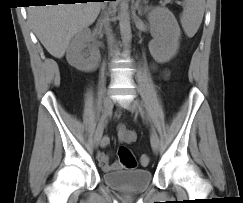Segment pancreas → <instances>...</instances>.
Segmentation results:
<instances>
[{
	"label": "pancreas",
	"mask_w": 243,
	"mask_h": 203,
	"mask_svg": "<svg viewBox=\"0 0 243 203\" xmlns=\"http://www.w3.org/2000/svg\"><path fill=\"white\" fill-rule=\"evenodd\" d=\"M170 2V0H165V2L164 3H169Z\"/></svg>",
	"instance_id": "1"
}]
</instances>
